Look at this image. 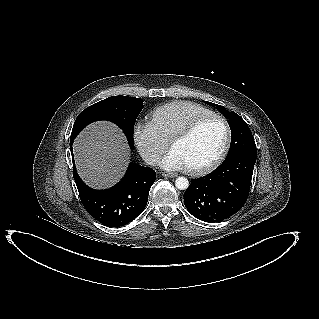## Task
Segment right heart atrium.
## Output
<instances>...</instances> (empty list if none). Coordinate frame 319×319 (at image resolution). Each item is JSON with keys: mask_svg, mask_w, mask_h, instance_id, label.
I'll list each match as a JSON object with an SVG mask.
<instances>
[{"mask_svg": "<svg viewBox=\"0 0 319 319\" xmlns=\"http://www.w3.org/2000/svg\"><path fill=\"white\" fill-rule=\"evenodd\" d=\"M133 141L143 160L154 165L168 147V141L149 121H139L134 125Z\"/></svg>", "mask_w": 319, "mask_h": 319, "instance_id": "d8ad5b80", "label": "right heart atrium"}]
</instances>
